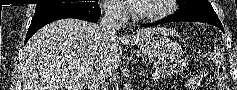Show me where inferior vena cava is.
Instances as JSON below:
<instances>
[{
    "mask_svg": "<svg viewBox=\"0 0 237 90\" xmlns=\"http://www.w3.org/2000/svg\"><path fill=\"white\" fill-rule=\"evenodd\" d=\"M104 16L99 20V28L101 38L108 42L110 36H117V30H121L123 20L126 18L125 6L123 4H106L102 6ZM112 68H108V62L101 60V62H93L89 68L88 90H108L109 76H111Z\"/></svg>",
    "mask_w": 237,
    "mask_h": 90,
    "instance_id": "obj_1",
    "label": "inferior vena cava"
}]
</instances>
